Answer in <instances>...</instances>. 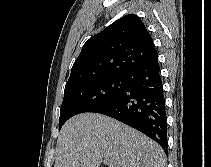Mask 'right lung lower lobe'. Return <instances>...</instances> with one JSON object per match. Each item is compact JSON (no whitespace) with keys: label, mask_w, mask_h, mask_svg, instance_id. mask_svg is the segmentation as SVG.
Instances as JSON below:
<instances>
[{"label":"right lung lower lobe","mask_w":211,"mask_h":167,"mask_svg":"<svg viewBox=\"0 0 211 167\" xmlns=\"http://www.w3.org/2000/svg\"><path fill=\"white\" fill-rule=\"evenodd\" d=\"M125 77L124 91L95 112L141 131L167 151V118L158 58Z\"/></svg>","instance_id":"1"}]
</instances>
